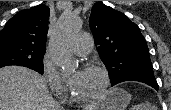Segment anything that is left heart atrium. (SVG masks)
Segmentation results:
<instances>
[{"instance_id": "39dd6f15", "label": "left heart atrium", "mask_w": 171, "mask_h": 110, "mask_svg": "<svg viewBox=\"0 0 171 110\" xmlns=\"http://www.w3.org/2000/svg\"><path fill=\"white\" fill-rule=\"evenodd\" d=\"M81 75V71H78L77 73H75L70 79H69V84L70 86H74L76 84V82L78 81L79 77Z\"/></svg>"}]
</instances>
